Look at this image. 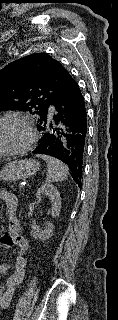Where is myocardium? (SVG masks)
Wrapping results in <instances>:
<instances>
[{"label": "myocardium", "instance_id": "myocardium-1", "mask_svg": "<svg viewBox=\"0 0 118 320\" xmlns=\"http://www.w3.org/2000/svg\"><path fill=\"white\" fill-rule=\"evenodd\" d=\"M10 121H15L20 123L24 128L25 136L22 142L18 146H15L13 148L6 149V150L0 149V156L23 153L30 149V147L32 146V144L36 139L35 129L28 118L18 114H8L0 117V124L4 122H10Z\"/></svg>", "mask_w": 118, "mask_h": 320}]
</instances>
